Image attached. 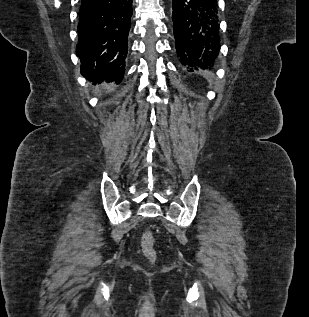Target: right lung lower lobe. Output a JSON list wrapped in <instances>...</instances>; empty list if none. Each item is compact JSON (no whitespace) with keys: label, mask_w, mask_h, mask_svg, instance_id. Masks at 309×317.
Returning <instances> with one entry per match:
<instances>
[{"label":"right lung lower lobe","mask_w":309,"mask_h":317,"mask_svg":"<svg viewBox=\"0 0 309 317\" xmlns=\"http://www.w3.org/2000/svg\"><path fill=\"white\" fill-rule=\"evenodd\" d=\"M131 16L132 0H81L76 53L86 79L121 81Z\"/></svg>","instance_id":"right-lung-lower-lobe-1"}]
</instances>
